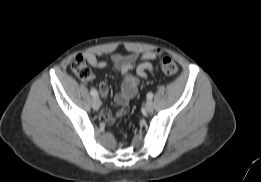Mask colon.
<instances>
[{"label": "colon", "instance_id": "5ec220e1", "mask_svg": "<svg viewBox=\"0 0 261 182\" xmlns=\"http://www.w3.org/2000/svg\"><path fill=\"white\" fill-rule=\"evenodd\" d=\"M160 69L166 75H175L178 71L176 63L169 57H164L160 61ZM73 74L81 81H89L92 79V71L81 56H77L71 63Z\"/></svg>", "mask_w": 261, "mask_h": 182}]
</instances>
